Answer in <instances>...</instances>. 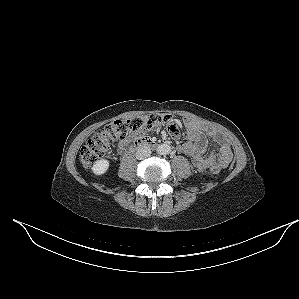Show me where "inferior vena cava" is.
<instances>
[{"label": "inferior vena cava", "mask_w": 299, "mask_h": 299, "mask_svg": "<svg viewBox=\"0 0 299 299\" xmlns=\"http://www.w3.org/2000/svg\"><path fill=\"white\" fill-rule=\"evenodd\" d=\"M151 156V149L147 146H141L136 152V158L138 160H143Z\"/></svg>", "instance_id": "obj_1"}]
</instances>
